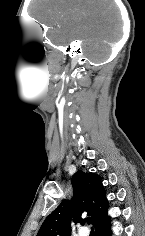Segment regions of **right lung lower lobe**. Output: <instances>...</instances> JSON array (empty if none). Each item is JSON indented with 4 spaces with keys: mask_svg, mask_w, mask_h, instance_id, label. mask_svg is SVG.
Segmentation results:
<instances>
[{
    "mask_svg": "<svg viewBox=\"0 0 145 236\" xmlns=\"http://www.w3.org/2000/svg\"><path fill=\"white\" fill-rule=\"evenodd\" d=\"M97 236H111L110 216L108 214L95 224Z\"/></svg>",
    "mask_w": 145,
    "mask_h": 236,
    "instance_id": "obj_1",
    "label": "right lung lower lobe"
}]
</instances>
